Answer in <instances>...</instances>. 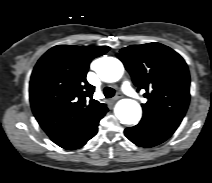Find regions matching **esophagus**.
<instances>
[{
	"mask_svg": "<svg viewBox=\"0 0 212 183\" xmlns=\"http://www.w3.org/2000/svg\"><path fill=\"white\" fill-rule=\"evenodd\" d=\"M120 98H122V94H121V93H118L115 97H113V98L111 99V101H112V102H115V101L119 100Z\"/></svg>",
	"mask_w": 212,
	"mask_h": 183,
	"instance_id": "obj_1",
	"label": "esophagus"
}]
</instances>
